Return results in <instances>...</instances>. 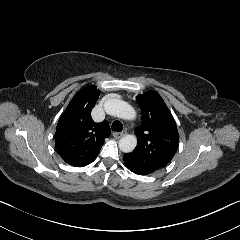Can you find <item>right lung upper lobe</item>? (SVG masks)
I'll list each match as a JSON object with an SVG mask.
<instances>
[{"mask_svg":"<svg viewBox=\"0 0 240 240\" xmlns=\"http://www.w3.org/2000/svg\"><path fill=\"white\" fill-rule=\"evenodd\" d=\"M100 91L89 85L74 95L58 121L55 146L62 159L75 167H84L94 161L105 138L110 136L107 121L95 123L91 110Z\"/></svg>","mask_w":240,"mask_h":240,"instance_id":"1","label":"right lung upper lobe"}]
</instances>
